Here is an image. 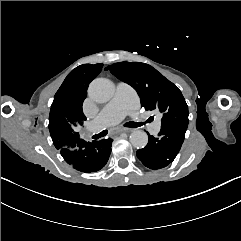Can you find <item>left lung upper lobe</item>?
I'll list each match as a JSON object with an SVG mask.
<instances>
[{"label": "left lung upper lobe", "mask_w": 241, "mask_h": 241, "mask_svg": "<svg viewBox=\"0 0 241 241\" xmlns=\"http://www.w3.org/2000/svg\"><path fill=\"white\" fill-rule=\"evenodd\" d=\"M131 85L146 110L163 113L161 124H188V106L179 88L152 66L140 62H119L105 68Z\"/></svg>", "instance_id": "left-lung-upper-lobe-1"}]
</instances>
